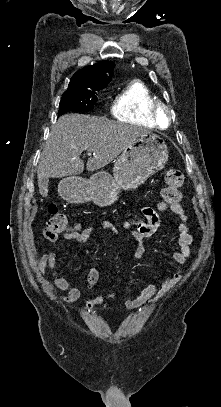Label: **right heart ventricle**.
Returning <instances> with one entry per match:
<instances>
[{
  "instance_id": "right-heart-ventricle-1",
  "label": "right heart ventricle",
  "mask_w": 221,
  "mask_h": 407,
  "mask_svg": "<svg viewBox=\"0 0 221 407\" xmlns=\"http://www.w3.org/2000/svg\"><path fill=\"white\" fill-rule=\"evenodd\" d=\"M159 101L141 80H133L115 93L109 106L111 115L122 122L153 126L152 107Z\"/></svg>"
}]
</instances>
